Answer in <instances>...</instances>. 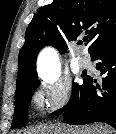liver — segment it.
<instances>
[{"label": "liver", "instance_id": "1", "mask_svg": "<svg viewBox=\"0 0 116 134\" xmlns=\"http://www.w3.org/2000/svg\"><path fill=\"white\" fill-rule=\"evenodd\" d=\"M108 126L97 125L92 128H74L65 125L41 126L25 132L24 134H111Z\"/></svg>", "mask_w": 116, "mask_h": 134}]
</instances>
